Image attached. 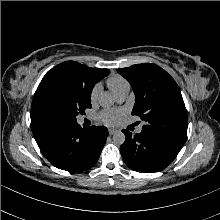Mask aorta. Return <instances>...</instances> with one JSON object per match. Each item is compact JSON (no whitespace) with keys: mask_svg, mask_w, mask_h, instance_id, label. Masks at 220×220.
I'll return each instance as SVG.
<instances>
[{"mask_svg":"<svg viewBox=\"0 0 220 220\" xmlns=\"http://www.w3.org/2000/svg\"><path fill=\"white\" fill-rule=\"evenodd\" d=\"M98 100H99V104L105 108L110 107L114 104L113 96L109 93H106V92L101 93ZM113 141L117 145L123 144L125 142L124 133L121 131L115 132L113 135Z\"/></svg>","mask_w":220,"mask_h":220,"instance_id":"762f6f07","label":"aorta"}]
</instances>
